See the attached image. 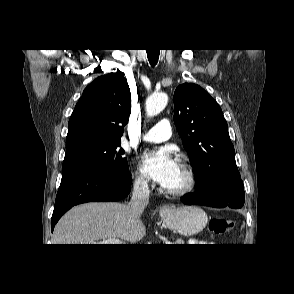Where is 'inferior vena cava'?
Returning <instances> with one entry per match:
<instances>
[{
  "mask_svg": "<svg viewBox=\"0 0 294 294\" xmlns=\"http://www.w3.org/2000/svg\"><path fill=\"white\" fill-rule=\"evenodd\" d=\"M148 203V182L143 178H139L134 182L132 197L128 206L130 207L132 214L139 219Z\"/></svg>",
  "mask_w": 294,
  "mask_h": 294,
  "instance_id": "obj_1",
  "label": "inferior vena cava"
}]
</instances>
